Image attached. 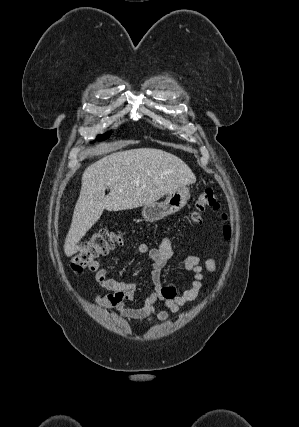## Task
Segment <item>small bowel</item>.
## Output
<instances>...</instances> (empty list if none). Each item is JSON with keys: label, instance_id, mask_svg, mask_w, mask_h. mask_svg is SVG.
<instances>
[{"label": "small bowel", "instance_id": "1", "mask_svg": "<svg viewBox=\"0 0 299 427\" xmlns=\"http://www.w3.org/2000/svg\"><path fill=\"white\" fill-rule=\"evenodd\" d=\"M139 254L147 255L151 262L150 277L153 289L149 292L142 306L128 307L127 302H132L141 280L119 281L109 277L106 268L101 267L99 262L90 266L95 274L96 282L111 293L106 295H94L95 303L104 308L116 310L121 316L128 320H146L151 322L167 320L171 313H177L187 303L194 302L203 287L204 271L213 272L216 269V261L207 259L204 263L196 255L187 256L182 265L181 274L193 273L191 286L177 293L174 285L164 283L162 271L172 255V245L168 237H164L156 247H149L146 243L137 245ZM162 302L167 310H159L156 304Z\"/></svg>", "mask_w": 299, "mask_h": 427}]
</instances>
